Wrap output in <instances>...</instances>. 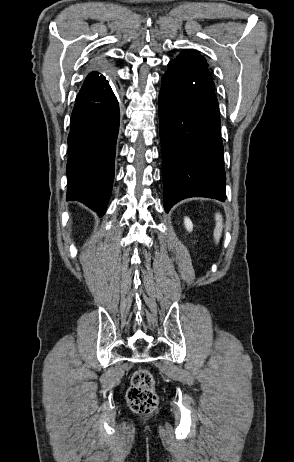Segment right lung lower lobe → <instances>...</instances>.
Instances as JSON below:
<instances>
[{"mask_svg":"<svg viewBox=\"0 0 294 462\" xmlns=\"http://www.w3.org/2000/svg\"><path fill=\"white\" fill-rule=\"evenodd\" d=\"M119 121V104L109 81H84L70 121L67 199L84 203L99 216L111 195Z\"/></svg>","mask_w":294,"mask_h":462,"instance_id":"98d812e1","label":"right lung lower lobe"}]
</instances>
